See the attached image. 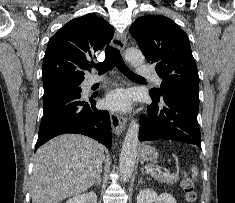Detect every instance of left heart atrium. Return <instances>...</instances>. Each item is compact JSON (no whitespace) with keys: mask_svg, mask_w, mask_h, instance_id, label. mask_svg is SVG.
Returning a JSON list of instances; mask_svg holds the SVG:
<instances>
[{"mask_svg":"<svg viewBox=\"0 0 235 203\" xmlns=\"http://www.w3.org/2000/svg\"><path fill=\"white\" fill-rule=\"evenodd\" d=\"M104 105L113 110L126 111L132 105V95L126 89H116L106 96Z\"/></svg>","mask_w":235,"mask_h":203,"instance_id":"39dd6f15","label":"left heart atrium"}]
</instances>
